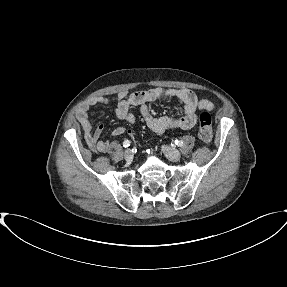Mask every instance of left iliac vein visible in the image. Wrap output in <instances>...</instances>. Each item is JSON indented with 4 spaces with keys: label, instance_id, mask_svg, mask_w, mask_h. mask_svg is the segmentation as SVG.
I'll return each mask as SVG.
<instances>
[{
    "label": "left iliac vein",
    "instance_id": "obj_1",
    "mask_svg": "<svg viewBox=\"0 0 287 287\" xmlns=\"http://www.w3.org/2000/svg\"><path fill=\"white\" fill-rule=\"evenodd\" d=\"M162 151L164 152L166 157L171 161H179L181 158V153L177 149L170 147L168 145H163Z\"/></svg>",
    "mask_w": 287,
    "mask_h": 287
}]
</instances>
